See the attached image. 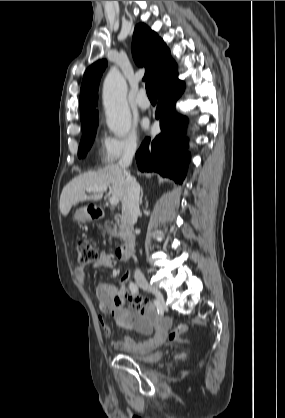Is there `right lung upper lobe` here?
Segmentation results:
<instances>
[{"instance_id":"obj_1","label":"right lung upper lobe","mask_w":285,"mask_h":418,"mask_svg":"<svg viewBox=\"0 0 285 418\" xmlns=\"http://www.w3.org/2000/svg\"><path fill=\"white\" fill-rule=\"evenodd\" d=\"M132 53L139 66H145L143 80H152L159 92L177 74V65L170 51L158 35L144 23L136 25L133 34ZM107 60L93 63L85 72L80 91V118L82 127L98 121L96 110L98 86Z\"/></svg>"}]
</instances>
